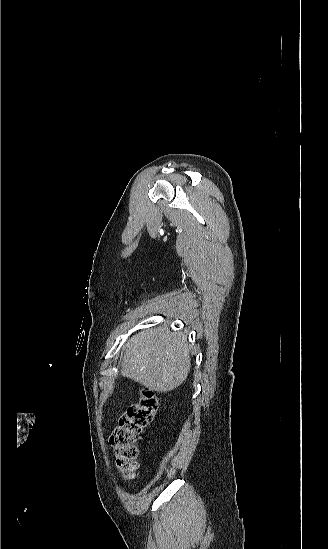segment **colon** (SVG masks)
<instances>
[{"mask_svg":"<svg viewBox=\"0 0 328 549\" xmlns=\"http://www.w3.org/2000/svg\"><path fill=\"white\" fill-rule=\"evenodd\" d=\"M158 408V397L151 389L141 391L138 403L130 406L120 417L114 429L110 443L115 451L116 463L122 475L127 479L135 476L138 462L137 435L152 420Z\"/></svg>","mask_w":328,"mask_h":549,"instance_id":"colon-1","label":"colon"}]
</instances>
